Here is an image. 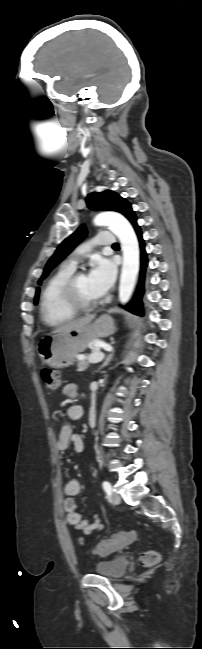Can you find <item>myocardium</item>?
<instances>
[{
    "mask_svg": "<svg viewBox=\"0 0 202 649\" xmlns=\"http://www.w3.org/2000/svg\"><path fill=\"white\" fill-rule=\"evenodd\" d=\"M84 275L82 272L73 273L63 286V298L70 308L77 312H85L94 309L101 303V299H83L78 292V279Z\"/></svg>",
    "mask_w": 202,
    "mask_h": 649,
    "instance_id": "myocardium-1",
    "label": "myocardium"
}]
</instances>
